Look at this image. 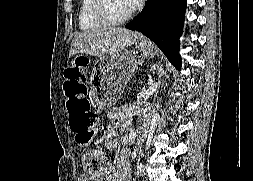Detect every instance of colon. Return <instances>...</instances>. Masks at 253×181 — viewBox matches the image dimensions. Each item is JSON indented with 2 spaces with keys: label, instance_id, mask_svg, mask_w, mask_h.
Listing matches in <instances>:
<instances>
[{
  "label": "colon",
  "instance_id": "colon-1",
  "mask_svg": "<svg viewBox=\"0 0 253 181\" xmlns=\"http://www.w3.org/2000/svg\"><path fill=\"white\" fill-rule=\"evenodd\" d=\"M64 77L70 130L79 145L88 146L97 134L98 116L91 108L82 66L78 63L67 66ZM106 161L104 151L89 149L83 155V168L89 175H96L105 167Z\"/></svg>",
  "mask_w": 253,
  "mask_h": 181
}]
</instances>
